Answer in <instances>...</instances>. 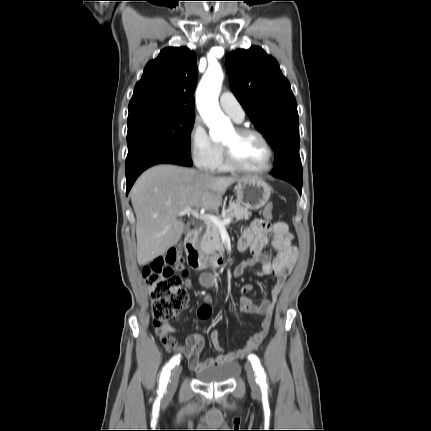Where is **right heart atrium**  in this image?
Masks as SVG:
<instances>
[{
	"instance_id": "right-heart-atrium-1",
	"label": "right heart atrium",
	"mask_w": 431,
	"mask_h": 431,
	"mask_svg": "<svg viewBox=\"0 0 431 431\" xmlns=\"http://www.w3.org/2000/svg\"><path fill=\"white\" fill-rule=\"evenodd\" d=\"M189 152L199 169L213 171L222 156L223 148L210 137L204 125L196 120L189 132Z\"/></svg>"
}]
</instances>
